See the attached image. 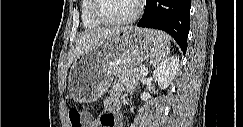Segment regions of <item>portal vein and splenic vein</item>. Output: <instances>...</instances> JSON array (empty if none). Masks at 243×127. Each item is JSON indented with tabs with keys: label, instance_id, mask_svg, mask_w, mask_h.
Wrapping results in <instances>:
<instances>
[{
	"label": "portal vein and splenic vein",
	"instance_id": "18ae733b",
	"mask_svg": "<svg viewBox=\"0 0 243 127\" xmlns=\"http://www.w3.org/2000/svg\"><path fill=\"white\" fill-rule=\"evenodd\" d=\"M146 72H147V69L146 68H141V73L142 74H146Z\"/></svg>",
	"mask_w": 243,
	"mask_h": 127
}]
</instances>
